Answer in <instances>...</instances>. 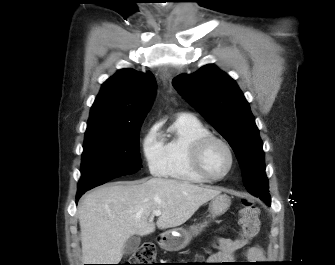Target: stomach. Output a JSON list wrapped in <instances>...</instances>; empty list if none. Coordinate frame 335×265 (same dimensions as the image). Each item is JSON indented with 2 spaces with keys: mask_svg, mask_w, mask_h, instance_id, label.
<instances>
[{
  "mask_svg": "<svg viewBox=\"0 0 335 265\" xmlns=\"http://www.w3.org/2000/svg\"><path fill=\"white\" fill-rule=\"evenodd\" d=\"M231 199L226 194H219L209 204L211 218L224 214L230 207ZM207 221L191 226L189 229H174L160 236L159 244L167 251H179L184 249L194 236H197L206 226Z\"/></svg>",
  "mask_w": 335,
  "mask_h": 265,
  "instance_id": "stomach-1",
  "label": "stomach"
}]
</instances>
